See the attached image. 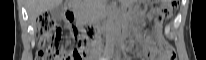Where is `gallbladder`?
I'll use <instances>...</instances> for the list:
<instances>
[{"instance_id":"gallbladder-1","label":"gallbladder","mask_w":206,"mask_h":60,"mask_svg":"<svg viewBox=\"0 0 206 60\" xmlns=\"http://www.w3.org/2000/svg\"><path fill=\"white\" fill-rule=\"evenodd\" d=\"M51 16L56 20H61L63 15V5L50 10Z\"/></svg>"}]
</instances>
